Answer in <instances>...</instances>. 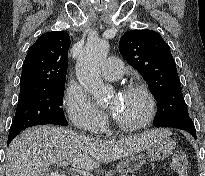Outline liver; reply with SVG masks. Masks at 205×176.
I'll use <instances>...</instances> for the list:
<instances>
[{
	"label": "liver",
	"instance_id": "1",
	"mask_svg": "<svg viewBox=\"0 0 205 176\" xmlns=\"http://www.w3.org/2000/svg\"><path fill=\"white\" fill-rule=\"evenodd\" d=\"M168 134L167 130L154 129L115 141L95 139L61 127H34L18 135L7 148L6 176H50L49 166L62 161L92 171L101 163L148 149Z\"/></svg>",
	"mask_w": 205,
	"mask_h": 176
}]
</instances>
